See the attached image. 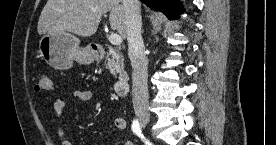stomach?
<instances>
[{
    "label": "stomach",
    "mask_w": 276,
    "mask_h": 145,
    "mask_svg": "<svg viewBox=\"0 0 276 145\" xmlns=\"http://www.w3.org/2000/svg\"><path fill=\"white\" fill-rule=\"evenodd\" d=\"M40 54L43 59L57 70H67L73 61L91 64L96 55L90 46L80 47V40L68 33L44 34L39 41Z\"/></svg>",
    "instance_id": "stomach-1"
}]
</instances>
